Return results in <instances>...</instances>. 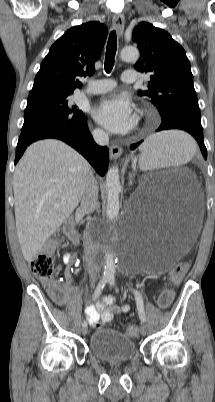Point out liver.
<instances>
[{
	"label": "liver",
	"mask_w": 215,
	"mask_h": 402,
	"mask_svg": "<svg viewBox=\"0 0 215 402\" xmlns=\"http://www.w3.org/2000/svg\"><path fill=\"white\" fill-rule=\"evenodd\" d=\"M91 173L86 159L59 140L37 141L26 149L13 190L17 236L27 262L78 206Z\"/></svg>",
	"instance_id": "obj_1"
}]
</instances>
